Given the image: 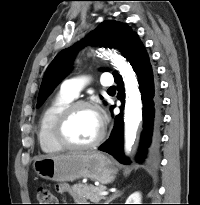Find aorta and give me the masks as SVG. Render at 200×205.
I'll return each instance as SVG.
<instances>
[{
	"mask_svg": "<svg viewBox=\"0 0 200 205\" xmlns=\"http://www.w3.org/2000/svg\"><path fill=\"white\" fill-rule=\"evenodd\" d=\"M101 52L99 55L111 60L112 65L122 75L125 84V146L128 149L135 139L138 125L142 120V101L137 77L130 64L116 51H105L103 49Z\"/></svg>",
	"mask_w": 200,
	"mask_h": 205,
	"instance_id": "762f6f07",
	"label": "aorta"
}]
</instances>
